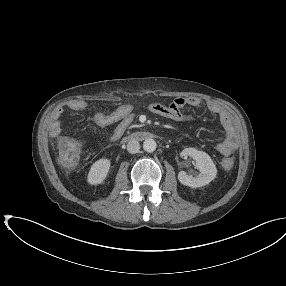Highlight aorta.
<instances>
[{"mask_svg":"<svg viewBox=\"0 0 286 286\" xmlns=\"http://www.w3.org/2000/svg\"><path fill=\"white\" fill-rule=\"evenodd\" d=\"M156 147H157V144L154 139H146L143 142V149L146 152H149V153L154 152L156 150Z\"/></svg>","mask_w":286,"mask_h":286,"instance_id":"1","label":"aorta"}]
</instances>
